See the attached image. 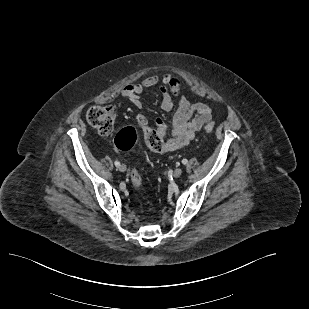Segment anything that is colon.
I'll return each mask as SVG.
<instances>
[{"label":"colon","instance_id":"1","mask_svg":"<svg viewBox=\"0 0 309 309\" xmlns=\"http://www.w3.org/2000/svg\"><path fill=\"white\" fill-rule=\"evenodd\" d=\"M88 123L100 134L109 135L114 131L117 110L112 106L93 105L86 112ZM206 132H212L214 125L209 123L205 126ZM136 141V130L134 127L121 129L115 138V145L118 150L127 152L132 149ZM145 142L148 148L154 152H160L162 148V138L157 131L147 129L145 131ZM131 181L136 188H140L142 179L139 171L133 169L131 172Z\"/></svg>","mask_w":309,"mask_h":309}]
</instances>
